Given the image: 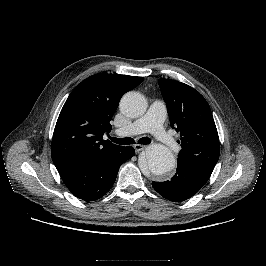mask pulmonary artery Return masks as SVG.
<instances>
[{
  "mask_svg": "<svg viewBox=\"0 0 266 266\" xmlns=\"http://www.w3.org/2000/svg\"><path fill=\"white\" fill-rule=\"evenodd\" d=\"M166 117L167 109L165 103L161 100H154L142 118L117 129L116 134L119 136H134L144 132H151L162 142L165 148L175 153L178 151V144L163 128Z\"/></svg>",
  "mask_w": 266,
  "mask_h": 266,
  "instance_id": "obj_1",
  "label": "pulmonary artery"
}]
</instances>
